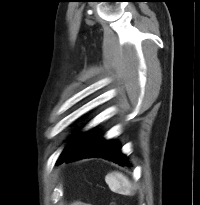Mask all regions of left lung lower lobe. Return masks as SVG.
Wrapping results in <instances>:
<instances>
[{"label": "left lung lower lobe", "mask_w": 200, "mask_h": 205, "mask_svg": "<svg viewBox=\"0 0 200 205\" xmlns=\"http://www.w3.org/2000/svg\"><path fill=\"white\" fill-rule=\"evenodd\" d=\"M93 157H102L122 166L130 165L128 164V159L121 153L117 143L105 141L102 137L92 133L87 135L67 157L60 161L59 164Z\"/></svg>", "instance_id": "obj_1"}]
</instances>
